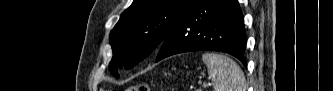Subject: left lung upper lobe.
Returning a JSON list of instances; mask_svg holds the SVG:
<instances>
[{"mask_svg": "<svg viewBox=\"0 0 333 91\" xmlns=\"http://www.w3.org/2000/svg\"><path fill=\"white\" fill-rule=\"evenodd\" d=\"M197 1L134 0L110 33V72L119 77L116 66L132 68L159 48Z\"/></svg>", "mask_w": 333, "mask_h": 91, "instance_id": "5c2ea615", "label": "left lung upper lobe"}]
</instances>
